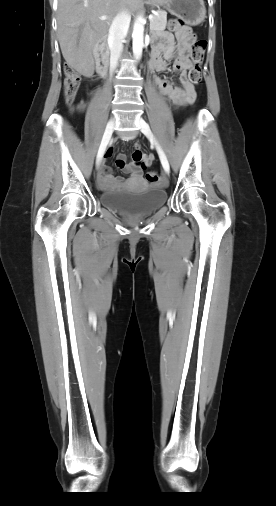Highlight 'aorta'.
Instances as JSON below:
<instances>
[{"label":"aorta","mask_w":276,"mask_h":506,"mask_svg":"<svg viewBox=\"0 0 276 506\" xmlns=\"http://www.w3.org/2000/svg\"><path fill=\"white\" fill-rule=\"evenodd\" d=\"M132 39L133 54L135 59L139 60L144 47V19L141 16H138L134 23Z\"/></svg>","instance_id":"762f6f07"}]
</instances>
